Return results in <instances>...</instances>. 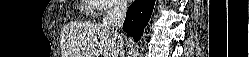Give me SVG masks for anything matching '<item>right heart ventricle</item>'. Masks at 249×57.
I'll list each match as a JSON object with an SVG mask.
<instances>
[{"label":"right heart ventricle","instance_id":"e07e8e85","mask_svg":"<svg viewBox=\"0 0 249 57\" xmlns=\"http://www.w3.org/2000/svg\"><path fill=\"white\" fill-rule=\"evenodd\" d=\"M87 2H89V4L85 7V11L87 13H91L93 8L95 7V4L93 1H87Z\"/></svg>","mask_w":249,"mask_h":57}]
</instances>
